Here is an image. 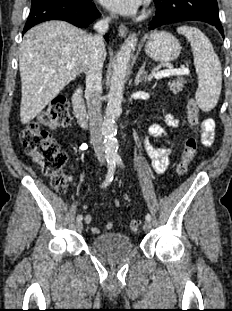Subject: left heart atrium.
Segmentation results:
<instances>
[{"label": "left heart atrium", "mask_w": 232, "mask_h": 311, "mask_svg": "<svg viewBox=\"0 0 232 311\" xmlns=\"http://www.w3.org/2000/svg\"><path fill=\"white\" fill-rule=\"evenodd\" d=\"M100 3L111 11L123 14H134L140 7L142 0H99Z\"/></svg>", "instance_id": "obj_1"}]
</instances>
